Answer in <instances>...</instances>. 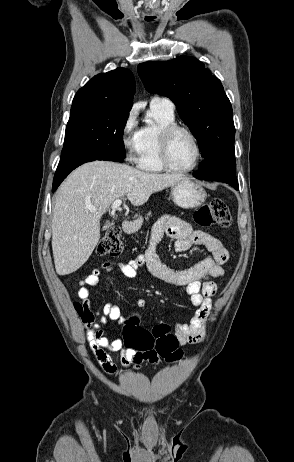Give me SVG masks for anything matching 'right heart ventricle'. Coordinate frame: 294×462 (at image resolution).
<instances>
[{"mask_svg":"<svg viewBox=\"0 0 294 462\" xmlns=\"http://www.w3.org/2000/svg\"><path fill=\"white\" fill-rule=\"evenodd\" d=\"M147 115L152 122L138 130L139 151L136 163L145 172L161 173L164 168L159 158V136L165 126L175 123V114L161 107L150 106Z\"/></svg>","mask_w":294,"mask_h":462,"instance_id":"obj_1","label":"right heart ventricle"}]
</instances>
